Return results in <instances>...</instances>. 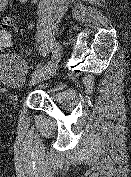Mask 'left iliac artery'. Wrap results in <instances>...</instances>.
Here are the masks:
<instances>
[{
	"instance_id": "1",
	"label": "left iliac artery",
	"mask_w": 131,
	"mask_h": 177,
	"mask_svg": "<svg viewBox=\"0 0 131 177\" xmlns=\"http://www.w3.org/2000/svg\"><path fill=\"white\" fill-rule=\"evenodd\" d=\"M53 63H54V60H53V59H48V60L45 62V65H44V66L39 67L38 69H36V70L33 72L32 76L37 75V74H39V73L45 71V70L47 69V66H52Z\"/></svg>"
}]
</instances>
